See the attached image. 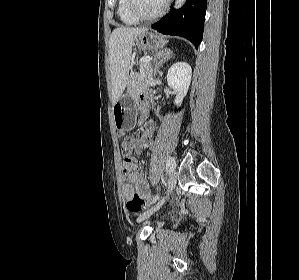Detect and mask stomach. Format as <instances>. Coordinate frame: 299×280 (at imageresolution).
<instances>
[{
  "mask_svg": "<svg viewBox=\"0 0 299 280\" xmlns=\"http://www.w3.org/2000/svg\"><path fill=\"white\" fill-rule=\"evenodd\" d=\"M135 45L141 50H160L166 45V40L153 32L142 33L135 41ZM134 99L125 95L113 106L115 125L120 130H127L134 125Z\"/></svg>",
  "mask_w": 299,
  "mask_h": 280,
  "instance_id": "obj_1",
  "label": "stomach"
}]
</instances>
